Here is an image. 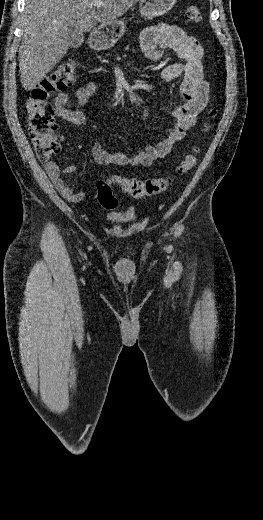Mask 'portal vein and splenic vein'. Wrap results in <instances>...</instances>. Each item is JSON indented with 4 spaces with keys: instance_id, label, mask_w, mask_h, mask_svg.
Masks as SVG:
<instances>
[{
    "instance_id": "portal-vein-and-splenic-vein-1",
    "label": "portal vein and splenic vein",
    "mask_w": 263,
    "mask_h": 520,
    "mask_svg": "<svg viewBox=\"0 0 263 520\" xmlns=\"http://www.w3.org/2000/svg\"><path fill=\"white\" fill-rule=\"evenodd\" d=\"M91 5H93V6H97V7H100V6L103 5V3H102L101 1H97V2H95V3H93V4H91Z\"/></svg>"
}]
</instances>
